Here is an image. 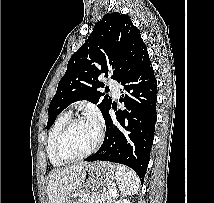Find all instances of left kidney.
<instances>
[{
    "label": "left kidney",
    "instance_id": "obj_1",
    "mask_svg": "<svg viewBox=\"0 0 214 203\" xmlns=\"http://www.w3.org/2000/svg\"><path fill=\"white\" fill-rule=\"evenodd\" d=\"M116 203H131V202L127 199H122V200L117 201Z\"/></svg>",
    "mask_w": 214,
    "mask_h": 203
}]
</instances>
